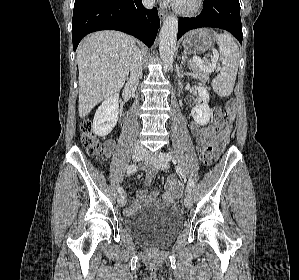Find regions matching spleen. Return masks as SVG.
Masks as SVG:
<instances>
[{"label":"spleen","instance_id":"obj_1","mask_svg":"<svg viewBox=\"0 0 299 280\" xmlns=\"http://www.w3.org/2000/svg\"><path fill=\"white\" fill-rule=\"evenodd\" d=\"M219 45L220 61L222 67L220 73L212 80V88L221 97L229 96L234 88L238 65L239 48L234 39L227 33H211Z\"/></svg>","mask_w":299,"mask_h":280}]
</instances>
